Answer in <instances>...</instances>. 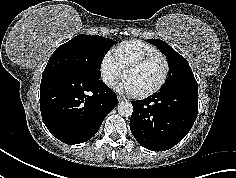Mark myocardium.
<instances>
[{
    "label": "myocardium",
    "mask_w": 236,
    "mask_h": 178,
    "mask_svg": "<svg viewBox=\"0 0 236 178\" xmlns=\"http://www.w3.org/2000/svg\"><path fill=\"white\" fill-rule=\"evenodd\" d=\"M156 59H160L164 63L165 71H164L163 77L160 80V82L154 88L149 89V90H147L145 92H142V93H135V96L138 97V98L149 97V96L159 92L163 88V86L166 84V82L168 80V77H169V74H170V64H169V61L162 54L150 55V56L144 57L142 59L132 61L124 69L123 77L125 78L129 71H131V70H133L135 68L141 67V66H143V65H145V64H147V63H149V62H151L153 60H156Z\"/></svg>",
    "instance_id": "obj_1"
}]
</instances>
